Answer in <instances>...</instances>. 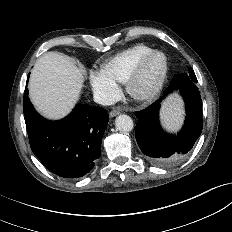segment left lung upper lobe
Segmentation results:
<instances>
[{
	"instance_id": "obj_1",
	"label": "left lung upper lobe",
	"mask_w": 232,
	"mask_h": 232,
	"mask_svg": "<svg viewBox=\"0 0 232 232\" xmlns=\"http://www.w3.org/2000/svg\"><path fill=\"white\" fill-rule=\"evenodd\" d=\"M181 77L184 81H192L197 83V78L192 68L188 70V73L181 74Z\"/></svg>"
}]
</instances>
